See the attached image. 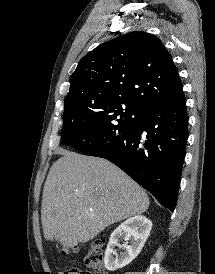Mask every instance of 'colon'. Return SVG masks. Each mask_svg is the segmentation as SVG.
Wrapping results in <instances>:
<instances>
[{"instance_id": "5ec220e1", "label": "colon", "mask_w": 215, "mask_h": 274, "mask_svg": "<svg viewBox=\"0 0 215 274\" xmlns=\"http://www.w3.org/2000/svg\"><path fill=\"white\" fill-rule=\"evenodd\" d=\"M105 241L103 239H95L90 243L88 254L86 257V265L91 271H83L77 269L66 270V274H95L100 272L104 268V252H105ZM63 254L68 251L64 249Z\"/></svg>"}]
</instances>
